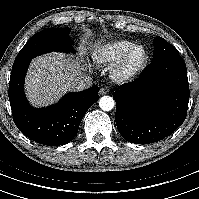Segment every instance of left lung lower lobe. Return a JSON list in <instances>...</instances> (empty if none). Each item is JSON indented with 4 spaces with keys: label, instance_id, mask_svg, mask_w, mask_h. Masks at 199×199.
<instances>
[{
    "label": "left lung lower lobe",
    "instance_id": "0a47b994",
    "mask_svg": "<svg viewBox=\"0 0 199 199\" xmlns=\"http://www.w3.org/2000/svg\"><path fill=\"white\" fill-rule=\"evenodd\" d=\"M189 96L187 69L179 54L152 60L138 80L113 93L119 133L135 144L168 137L184 122Z\"/></svg>",
    "mask_w": 199,
    "mask_h": 199
}]
</instances>
